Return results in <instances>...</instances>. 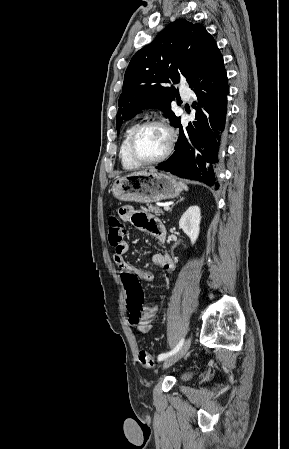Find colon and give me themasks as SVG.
Masks as SVG:
<instances>
[{"mask_svg":"<svg viewBox=\"0 0 289 449\" xmlns=\"http://www.w3.org/2000/svg\"><path fill=\"white\" fill-rule=\"evenodd\" d=\"M126 235V227L115 215L108 218V241L118 247L123 243ZM119 278L122 280L126 288L128 300L127 306L130 312V321L133 325L138 326L142 319L143 291L138 279L134 276L133 271H120ZM139 361L145 367H152L154 360L147 350H140Z\"/></svg>","mask_w":289,"mask_h":449,"instance_id":"5ec220e1","label":"colon"}]
</instances>
